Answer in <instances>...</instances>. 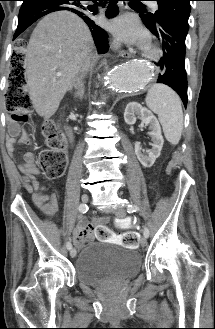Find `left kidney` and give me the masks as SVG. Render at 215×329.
Instances as JSON below:
<instances>
[{
  "mask_svg": "<svg viewBox=\"0 0 215 329\" xmlns=\"http://www.w3.org/2000/svg\"><path fill=\"white\" fill-rule=\"evenodd\" d=\"M137 118H140L144 124L149 125L151 131L148 134L151 136L153 143L152 149L148 155H145L141 153L140 143L136 142L135 154L144 167H151L155 160L160 156L163 147L164 139L161 134V127L157 118L149 109L142 107L137 102H130L125 108L124 120L127 124L133 125Z\"/></svg>",
  "mask_w": 215,
  "mask_h": 329,
  "instance_id": "5707ae66",
  "label": "left kidney"
}]
</instances>
